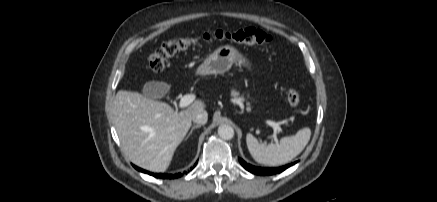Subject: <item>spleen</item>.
Masks as SVG:
<instances>
[{
	"mask_svg": "<svg viewBox=\"0 0 437 202\" xmlns=\"http://www.w3.org/2000/svg\"><path fill=\"white\" fill-rule=\"evenodd\" d=\"M311 137L309 128L300 129L295 135L281 138L279 143L259 142L252 134H247L246 143L253 159L264 165L278 166L290 162L306 147Z\"/></svg>",
	"mask_w": 437,
	"mask_h": 202,
	"instance_id": "spleen-1",
	"label": "spleen"
}]
</instances>
